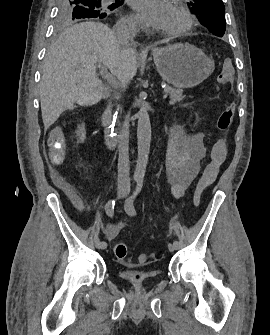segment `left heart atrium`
Wrapping results in <instances>:
<instances>
[{
	"label": "left heart atrium",
	"instance_id": "obj_1",
	"mask_svg": "<svg viewBox=\"0 0 270 335\" xmlns=\"http://www.w3.org/2000/svg\"><path fill=\"white\" fill-rule=\"evenodd\" d=\"M134 9L141 16L149 36H158L175 30L176 11L165 0H135Z\"/></svg>",
	"mask_w": 270,
	"mask_h": 335
}]
</instances>
